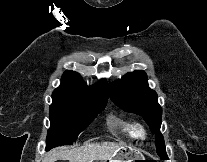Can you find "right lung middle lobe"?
Returning <instances> with one entry per match:
<instances>
[{"label": "right lung middle lobe", "mask_w": 207, "mask_h": 162, "mask_svg": "<svg viewBox=\"0 0 207 162\" xmlns=\"http://www.w3.org/2000/svg\"><path fill=\"white\" fill-rule=\"evenodd\" d=\"M51 127L46 148L71 144L90 122L104 109L107 99L76 98L52 95Z\"/></svg>", "instance_id": "1"}]
</instances>
